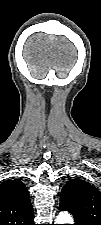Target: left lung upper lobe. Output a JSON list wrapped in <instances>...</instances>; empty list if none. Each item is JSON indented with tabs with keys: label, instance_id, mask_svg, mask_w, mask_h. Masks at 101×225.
Listing matches in <instances>:
<instances>
[{
	"label": "left lung upper lobe",
	"instance_id": "1",
	"mask_svg": "<svg viewBox=\"0 0 101 225\" xmlns=\"http://www.w3.org/2000/svg\"><path fill=\"white\" fill-rule=\"evenodd\" d=\"M60 207L73 215L75 223L101 225V193L84 180L75 178L65 184Z\"/></svg>",
	"mask_w": 101,
	"mask_h": 225
}]
</instances>
